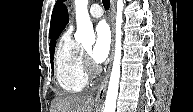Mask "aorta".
I'll use <instances>...</instances> for the list:
<instances>
[{"mask_svg":"<svg viewBox=\"0 0 193 112\" xmlns=\"http://www.w3.org/2000/svg\"><path fill=\"white\" fill-rule=\"evenodd\" d=\"M123 0L117 1L116 13V44L113 67L109 80L108 90L105 99L104 112H115L116 100L118 96L119 80H120V60H121V25L123 22L122 11ZM76 24L77 31L75 40L79 43L93 44L95 42V34L93 25L88 13V0H75Z\"/></svg>","mask_w":193,"mask_h":112,"instance_id":"aorta-1","label":"aorta"}]
</instances>
